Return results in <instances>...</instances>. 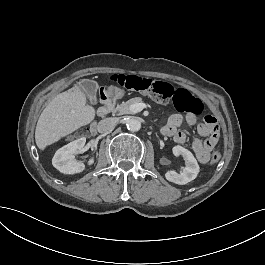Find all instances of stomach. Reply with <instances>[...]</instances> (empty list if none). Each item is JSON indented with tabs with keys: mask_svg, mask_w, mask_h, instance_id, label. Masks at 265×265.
<instances>
[{
	"mask_svg": "<svg viewBox=\"0 0 265 265\" xmlns=\"http://www.w3.org/2000/svg\"><path fill=\"white\" fill-rule=\"evenodd\" d=\"M107 93H108L110 96L114 97L115 99H119V98L122 96V93H121L119 90H117V89H115V88H113V87H110V88L107 90Z\"/></svg>",
	"mask_w": 265,
	"mask_h": 265,
	"instance_id": "stomach-1",
	"label": "stomach"
}]
</instances>
